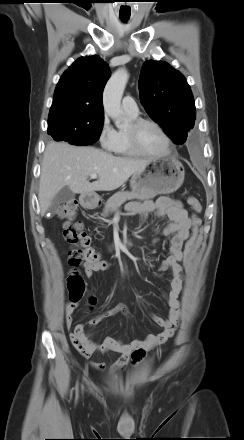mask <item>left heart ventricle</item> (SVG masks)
I'll return each mask as SVG.
<instances>
[{
	"mask_svg": "<svg viewBox=\"0 0 244 440\" xmlns=\"http://www.w3.org/2000/svg\"><path fill=\"white\" fill-rule=\"evenodd\" d=\"M142 148L153 154L162 153L166 149V140L153 125H144L138 131Z\"/></svg>",
	"mask_w": 244,
	"mask_h": 440,
	"instance_id": "left-heart-ventricle-1",
	"label": "left heart ventricle"
}]
</instances>
